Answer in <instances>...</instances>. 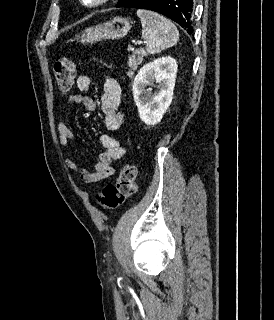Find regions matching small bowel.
<instances>
[{
	"label": "small bowel",
	"mask_w": 274,
	"mask_h": 320,
	"mask_svg": "<svg viewBox=\"0 0 274 320\" xmlns=\"http://www.w3.org/2000/svg\"><path fill=\"white\" fill-rule=\"evenodd\" d=\"M91 77L87 74H81L77 78V87L81 91L88 90L91 86ZM81 104L86 110L96 109L94 99L83 93H73L66 98L64 110H68L72 105ZM121 88L118 82L106 77L103 85V94L101 96V113L104 119V125L108 130H118L124 123V115L120 109ZM60 142L64 147H69L74 141L75 135L64 120H60L57 125ZM100 143L104 151L99 155L98 162L94 171H88L80 167L70 158H65L66 167L74 172L83 182L88 184L97 183L114 173L112 165L114 160L121 159L126 150L120 145L118 140L111 135L103 134L100 136Z\"/></svg>",
	"instance_id": "small-bowel-1"
}]
</instances>
